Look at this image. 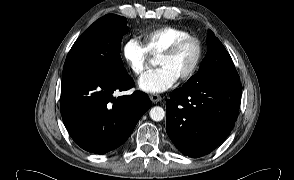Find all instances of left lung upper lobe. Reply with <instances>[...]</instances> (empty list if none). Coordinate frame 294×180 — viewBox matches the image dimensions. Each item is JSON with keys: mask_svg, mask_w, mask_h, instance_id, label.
<instances>
[{"mask_svg": "<svg viewBox=\"0 0 294 180\" xmlns=\"http://www.w3.org/2000/svg\"><path fill=\"white\" fill-rule=\"evenodd\" d=\"M207 42L208 52L199 71L182 87L190 88L201 87L210 83L240 82L229 53L211 30H209Z\"/></svg>", "mask_w": 294, "mask_h": 180, "instance_id": "left-lung-upper-lobe-1", "label": "left lung upper lobe"}]
</instances>
